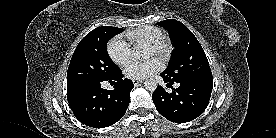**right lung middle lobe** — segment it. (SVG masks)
I'll return each instance as SVG.
<instances>
[{
	"label": "right lung middle lobe",
	"mask_w": 276,
	"mask_h": 138,
	"mask_svg": "<svg viewBox=\"0 0 276 138\" xmlns=\"http://www.w3.org/2000/svg\"><path fill=\"white\" fill-rule=\"evenodd\" d=\"M122 30L111 26L97 27L80 41L67 71V88L109 79L120 70L110 60L106 44Z\"/></svg>",
	"instance_id": "dd1d6c3e"
}]
</instances>
